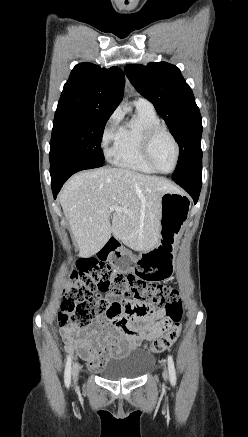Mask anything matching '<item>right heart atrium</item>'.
Segmentation results:
<instances>
[{"instance_id":"1","label":"right heart atrium","mask_w":248,"mask_h":437,"mask_svg":"<svg viewBox=\"0 0 248 437\" xmlns=\"http://www.w3.org/2000/svg\"><path fill=\"white\" fill-rule=\"evenodd\" d=\"M120 112L114 111L109 118L106 120L101 133V146L105 153L109 156L111 155L112 148L114 146L120 129Z\"/></svg>"}]
</instances>
